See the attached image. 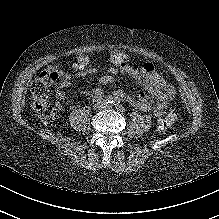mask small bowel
Here are the masks:
<instances>
[{
	"mask_svg": "<svg viewBox=\"0 0 219 219\" xmlns=\"http://www.w3.org/2000/svg\"><path fill=\"white\" fill-rule=\"evenodd\" d=\"M112 66L108 69L109 74L99 78V83L107 85L115 81L117 74H122L133 79L140 84L146 93H140L136 97L129 96L122 90H117L115 94L126 99L133 107L138 110L149 112L152 111L157 117L162 116L165 110L175 97L176 91L172 84L165 81L156 71L151 63H145L142 66L129 64L128 56L121 50H113L110 55ZM88 58L78 57L73 65L77 75H84L87 70ZM74 85L72 77L63 73L55 91L56 107L61 109V102L66 99V88ZM95 96L103 94L101 88L94 90Z\"/></svg>",
	"mask_w": 219,
	"mask_h": 219,
	"instance_id": "small-bowel-1",
	"label": "small bowel"
}]
</instances>
